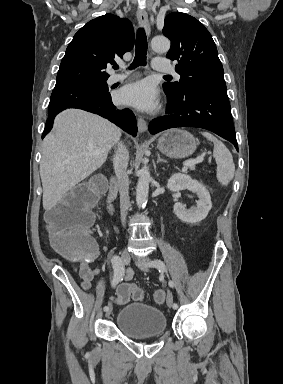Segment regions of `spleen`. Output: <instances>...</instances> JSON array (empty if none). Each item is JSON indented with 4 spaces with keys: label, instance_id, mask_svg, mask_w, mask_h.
<instances>
[{
    "label": "spleen",
    "instance_id": "1",
    "mask_svg": "<svg viewBox=\"0 0 283 384\" xmlns=\"http://www.w3.org/2000/svg\"><path fill=\"white\" fill-rule=\"evenodd\" d=\"M201 134L214 144L213 156L217 164L218 182H220L221 186H228L229 182L233 180L235 174L232 154H230L228 148H226L220 140H217L215 136H212V134H208V132H201Z\"/></svg>",
    "mask_w": 283,
    "mask_h": 384
}]
</instances>
